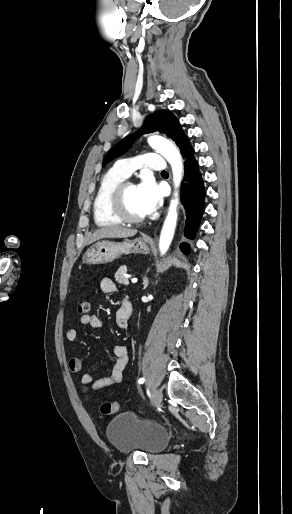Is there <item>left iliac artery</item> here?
<instances>
[{"instance_id":"1","label":"left iliac artery","mask_w":292,"mask_h":514,"mask_svg":"<svg viewBox=\"0 0 292 514\" xmlns=\"http://www.w3.org/2000/svg\"><path fill=\"white\" fill-rule=\"evenodd\" d=\"M144 382H145V379H144V378H140V379L138 380V383H139V384H142V383H144Z\"/></svg>"}]
</instances>
